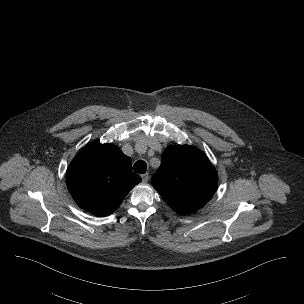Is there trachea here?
Here are the masks:
<instances>
[{
  "label": "trachea",
  "instance_id": "trachea-1",
  "mask_svg": "<svg viewBox=\"0 0 304 304\" xmlns=\"http://www.w3.org/2000/svg\"><path fill=\"white\" fill-rule=\"evenodd\" d=\"M133 170L136 173L139 174H144L147 170V163L143 160H138L134 166H133Z\"/></svg>",
  "mask_w": 304,
  "mask_h": 304
}]
</instances>
